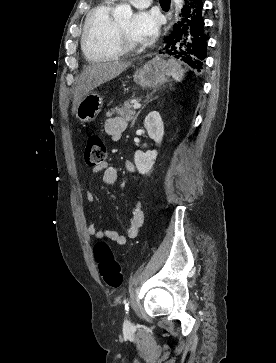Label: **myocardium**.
I'll return each mask as SVG.
<instances>
[{
  "label": "myocardium",
  "instance_id": "myocardium-1",
  "mask_svg": "<svg viewBox=\"0 0 276 363\" xmlns=\"http://www.w3.org/2000/svg\"><path fill=\"white\" fill-rule=\"evenodd\" d=\"M114 43L121 54L134 53L142 48L141 44L134 45L125 39L118 22H115L114 25Z\"/></svg>",
  "mask_w": 276,
  "mask_h": 363
}]
</instances>
